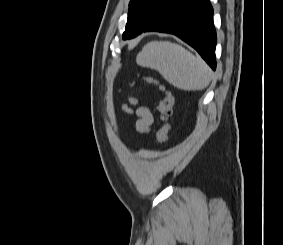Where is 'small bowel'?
<instances>
[{"label": "small bowel", "instance_id": "c3829d8e", "mask_svg": "<svg viewBox=\"0 0 283 245\" xmlns=\"http://www.w3.org/2000/svg\"><path fill=\"white\" fill-rule=\"evenodd\" d=\"M129 103L136 105L138 103L137 99L130 98ZM124 112L128 114L135 115L137 117L136 130L142 134H148L151 131L152 125L154 123V117L150 109L146 106H137L136 108H131L127 104L122 106Z\"/></svg>", "mask_w": 283, "mask_h": 245}]
</instances>
